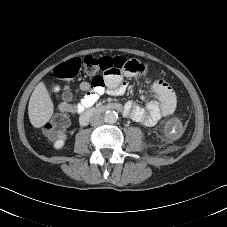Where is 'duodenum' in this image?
I'll list each match as a JSON object with an SVG mask.
<instances>
[{
	"instance_id": "duodenum-1",
	"label": "duodenum",
	"mask_w": 227,
	"mask_h": 227,
	"mask_svg": "<svg viewBox=\"0 0 227 227\" xmlns=\"http://www.w3.org/2000/svg\"><path fill=\"white\" fill-rule=\"evenodd\" d=\"M108 108L118 109V110L122 109V107L119 106V105H111L110 107H108V106H97V107L88 109L82 114V116L80 118V125L86 126L89 123V121L92 117H94L98 113H101V112L107 110Z\"/></svg>"
}]
</instances>
